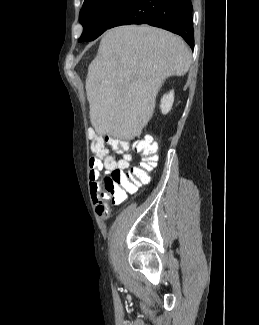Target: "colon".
<instances>
[{
	"instance_id": "obj_1",
	"label": "colon",
	"mask_w": 259,
	"mask_h": 325,
	"mask_svg": "<svg viewBox=\"0 0 259 325\" xmlns=\"http://www.w3.org/2000/svg\"><path fill=\"white\" fill-rule=\"evenodd\" d=\"M89 139L90 150L98 159H104L107 156V143L119 153L129 149L127 142L110 136L104 137L90 132ZM132 147L141 155V162L128 171H124L126 167L124 165L114 167L104 179L105 192H101V197L107 196L114 202L120 203L125 199L126 193L136 192L140 186L149 182V174L157 162L158 144L154 137L147 136L134 142ZM128 159L129 156L126 155L124 161Z\"/></svg>"
}]
</instances>
